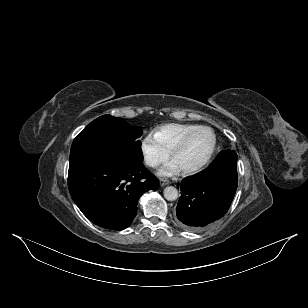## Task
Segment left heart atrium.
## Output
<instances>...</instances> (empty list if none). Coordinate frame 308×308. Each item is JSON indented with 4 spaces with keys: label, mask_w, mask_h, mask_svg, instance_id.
<instances>
[{
    "label": "left heart atrium",
    "mask_w": 308,
    "mask_h": 308,
    "mask_svg": "<svg viewBox=\"0 0 308 308\" xmlns=\"http://www.w3.org/2000/svg\"><path fill=\"white\" fill-rule=\"evenodd\" d=\"M180 166L175 160H172L162 166L159 170V175L161 176H172L180 171Z\"/></svg>",
    "instance_id": "left-heart-atrium-1"
}]
</instances>
